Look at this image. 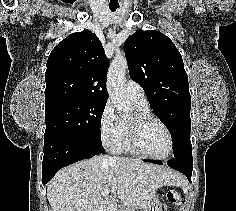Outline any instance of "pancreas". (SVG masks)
<instances>
[{"label":"pancreas","mask_w":236,"mask_h":211,"mask_svg":"<svg viewBox=\"0 0 236 211\" xmlns=\"http://www.w3.org/2000/svg\"><path fill=\"white\" fill-rule=\"evenodd\" d=\"M119 211H128V210H119Z\"/></svg>","instance_id":"cf45deb5"}]
</instances>
